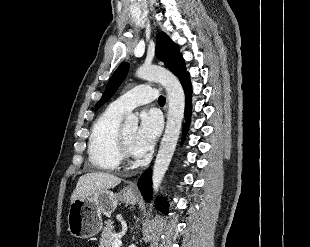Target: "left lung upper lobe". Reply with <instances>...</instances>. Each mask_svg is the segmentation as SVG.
Segmentation results:
<instances>
[{"mask_svg": "<svg viewBox=\"0 0 310 247\" xmlns=\"http://www.w3.org/2000/svg\"><path fill=\"white\" fill-rule=\"evenodd\" d=\"M155 54L156 57L163 61L166 67H168L179 78L187 73L185 62L182 55L179 53L178 46L164 32L157 35ZM128 70V63H122L115 70L105 88L101 99L97 103L96 109H98L112 97L122 81L125 79Z\"/></svg>", "mask_w": 310, "mask_h": 247, "instance_id": "left-lung-upper-lobe-1", "label": "left lung upper lobe"}]
</instances>
